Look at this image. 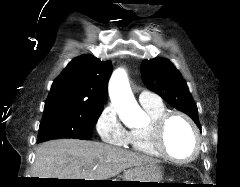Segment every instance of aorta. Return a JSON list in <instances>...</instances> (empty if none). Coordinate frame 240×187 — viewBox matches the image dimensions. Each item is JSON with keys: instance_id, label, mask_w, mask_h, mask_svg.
<instances>
[{"instance_id": "aorta-1", "label": "aorta", "mask_w": 240, "mask_h": 187, "mask_svg": "<svg viewBox=\"0 0 240 187\" xmlns=\"http://www.w3.org/2000/svg\"><path fill=\"white\" fill-rule=\"evenodd\" d=\"M108 91L111 102L122 120L134 124L144 118V112L133 96L127 74L123 69L113 72Z\"/></svg>"}]
</instances>
